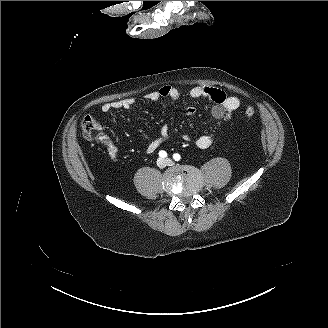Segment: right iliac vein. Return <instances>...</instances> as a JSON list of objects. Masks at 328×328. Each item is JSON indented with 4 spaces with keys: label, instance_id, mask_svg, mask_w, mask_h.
<instances>
[{
    "label": "right iliac vein",
    "instance_id": "63e3f726",
    "mask_svg": "<svg viewBox=\"0 0 328 328\" xmlns=\"http://www.w3.org/2000/svg\"><path fill=\"white\" fill-rule=\"evenodd\" d=\"M157 164L159 165V167H164L167 163L164 159L160 158Z\"/></svg>",
    "mask_w": 328,
    "mask_h": 328
}]
</instances>
